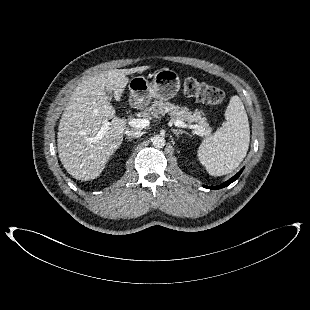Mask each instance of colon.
I'll list each match as a JSON object with an SVG mask.
<instances>
[{"label":"colon","mask_w":310,"mask_h":310,"mask_svg":"<svg viewBox=\"0 0 310 310\" xmlns=\"http://www.w3.org/2000/svg\"><path fill=\"white\" fill-rule=\"evenodd\" d=\"M184 92L189 97H194L211 105H220L226 101L225 93L221 89L194 78L185 80Z\"/></svg>","instance_id":"5ec220e1"}]
</instances>
